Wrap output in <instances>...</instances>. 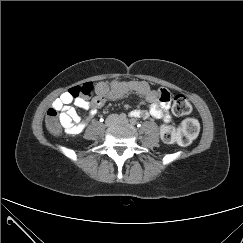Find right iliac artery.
I'll list each match as a JSON object with an SVG mask.
<instances>
[{
    "mask_svg": "<svg viewBox=\"0 0 243 243\" xmlns=\"http://www.w3.org/2000/svg\"><path fill=\"white\" fill-rule=\"evenodd\" d=\"M119 118H120V119H126V114H125V113H121V114L119 115Z\"/></svg>",
    "mask_w": 243,
    "mask_h": 243,
    "instance_id": "obj_1",
    "label": "right iliac artery"
}]
</instances>
